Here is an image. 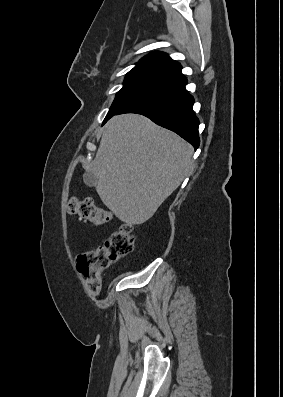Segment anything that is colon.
I'll use <instances>...</instances> for the list:
<instances>
[{"mask_svg":"<svg viewBox=\"0 0 283 397\" xmlns=\"http://www.w3.org/2000/svg\"><path fill=\"white\" fill-rule=\"evenodd\" d=\"M67 212L98 226L107 224L112 219L109 211L97 206L89 198L82 200L71 198L67 203ZM133 248V228L130 224L122 223L109 235L103 245L78 256L77 268L91 295H98L101 291L103 271L132 252Z\"/></svg>","mask_w":283,"mask_h":397,"instance_id":"obj_1","label":"colon"}]
</instances>
